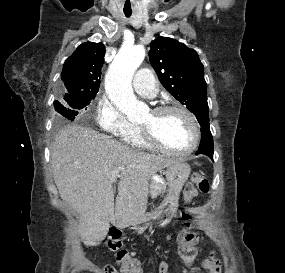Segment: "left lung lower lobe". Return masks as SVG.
I'll list each match as a JSON object with an SVG mask.
<instances>
[{
  "label": "left lung lower lobe",
  "instance_id": "obj_1",
  "mask_svg": "<svg viewBox=\"0 0 285 273\" xmlns=\"http://www.w3.org/2000/svg\"><path fill=\"white\" fill-rule=\"evenodd\" d=\"M213 138L210 132L209 124L201 126V142L196 154H205L213 159Z\"/></svg>",
  "mask_w": 285,
  "mask_h": 273
}]
</instances>
